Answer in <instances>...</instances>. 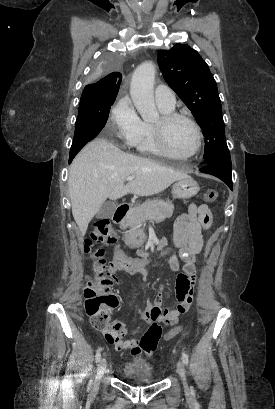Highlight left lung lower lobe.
<instances>
[{"label": "left lung lower lobe", "instance_id": "1", "mask_svg": "<svg viewBox=\"0 0 275 409\" xmlns=\"http://www.w3.org/2000/svg\"><path fill=\"white\" fill-rule=\"evenodd\" d=\"M201 172L214 175L224 181L231 190H233L232 185V169L225 162L210 163L200 169Z\"/></svg>", "mask_w": 275, "mask_h": 409}]
</instances>
